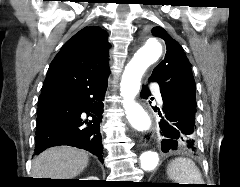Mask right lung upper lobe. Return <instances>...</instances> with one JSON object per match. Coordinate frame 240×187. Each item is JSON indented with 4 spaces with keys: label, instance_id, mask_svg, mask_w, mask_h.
I'll return each mask as SVG.
<instances>
[{
    "label": "right lung upper lobe",
    "instance_id": "right-lung-upper-lobe-1",
    "mask_svg": "<svg viewBox=\"0 0 240 187\" xmlns=\"http://www.w3.org/2000/svg\"><path fill=\"white\" fill-rule=\"evenodd\" d=\"M108 35L89 26L68 40L51 62L39 99L77 90L93 80L107 78Z\"/></svg>",
    "mask_w": 240,
    "mask_h": 187
}]
</instances>
